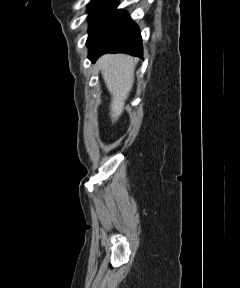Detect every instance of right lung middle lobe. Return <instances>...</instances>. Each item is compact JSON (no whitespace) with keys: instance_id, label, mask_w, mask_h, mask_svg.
Returning a JSON list of instances; mask_svg holds the SVG:
<instances>
[{"instance_id":"dd1d6c3e","label":"right lung middle lobe","mask_w":240,"mask_h":288,"mask_svg":"<svg viewBox=\"0 0 240 288\" xmlns=\"http://www.w3.org/2000/svg\"><path fill=\"white\" fill-rule=\"evenodd\" d=\"M115 0H92L89 8V35L87 43L93 38L100 27L108 19V17L115 11Z\"/></svg>"}]
</instances>
